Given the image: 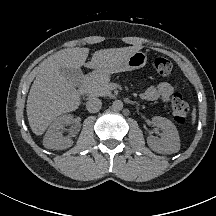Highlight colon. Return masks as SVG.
I'll return each instance as SVG.
<instances>
[{
  "mask_svg": "<svg viewBox=\"0 0 216 216\" xmlns=\"http://www.w3.org/2000/svg\"><path fill=\"white\" fill-rule=\"evenodd\" d=\"M154 68L159 76L167 77L171 74L174 63L166 57H157L154 60ZM171 113L174 121L178 124H185L189 115V107L181 94L175 93L171 101Z\"/></svg>",
  "mask_w": 216,
  "mask_h": 216,
  "instance_id": "obj_1",
  "label": "colon"
}]
</instances>
